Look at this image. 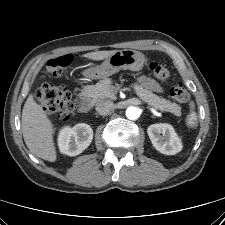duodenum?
Masks as SVG:
<instances>
[{"instance_id": "410a0bca", "label": "duodenum", "mask_w": 225, "mask_h": 225, "mask_svg": "<svg viewBox=\"0 0 225 225\" xmlns=\"http://www.w3.org/2000/svg\"><path fill=\"white\" fill-rule=\"evenodd\" d=\"M93 106V99L89 95H83L78 101V109L80 112H87Z\"/></svg>"}]
</instances>
